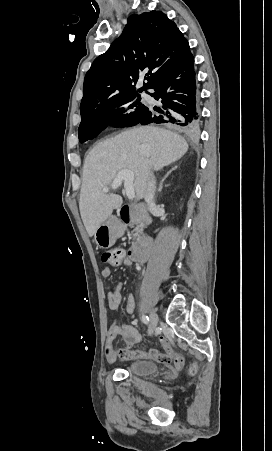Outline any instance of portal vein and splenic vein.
<instances>
[{
	"instance_id": "18ae733b",
	"label": "portal vein and splenic vein",
	"mask_w": 272,
	"mask_h": 451,
	"mask_svg": "<svg viewBox=\"0 0 272 451\" xmlns=\"http://www.w3.org/2000/svg\"><path fill=\"white\" fill-rule=\"evenodd\" d=\"M122 182H124L127 198H129V200H133V198H135L133 188L134 172H132V170H121L112 184L113 190H116L118 186H121ZM102 192H109V188H103Z\"/></svg>"
}]
</instances>
